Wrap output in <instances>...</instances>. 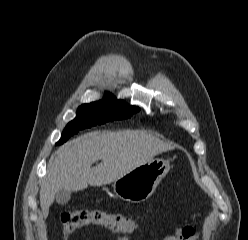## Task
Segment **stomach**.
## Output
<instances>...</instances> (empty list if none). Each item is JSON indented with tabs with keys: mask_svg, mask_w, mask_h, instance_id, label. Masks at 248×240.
I'll list each match as a JSON object with an SVG mask.
<instances>
[{
	"mask_svg": "<svg viewBox=\"0 0 248 240\" xmlns=\"http://www.w3.org/2000/svg\"><path fill=\"white\" fill-rule=\"evenodd\" d=\"M169 170L168 160L152 159L115 180L114 193L124 201L132 203L145 201L154 193L157 185Z\"/></svg>",
	"mask_w": 248,
	"mask_h": 240,
	"instance_id": "1",
	"label": "stomach"
}]
</instances>
